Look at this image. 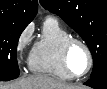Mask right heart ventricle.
<instances>
[{
  "label": "right heart ventricle",
  "mask_w": 107,
  "mask_h": 89,
  "mask_svg": "<svg viewBox=\"0 0 107 89\" xmlns=\"http://www.w3.org/2000/svg\"><path fill=\"white\" fill-rule=\"evenodd\" d=\"M69 37L71 34L59 20L48 16L43 22L41 33L30 53L31 70L63 80L71 79L61 61V46Z\"/></svg>",
  "instance_id": "right-heart-ventricle-1"
}]
</instances>
